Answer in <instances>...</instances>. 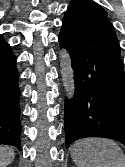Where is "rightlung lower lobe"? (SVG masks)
Segmentation results:
<instances>
[{
    "label": "right lung lower lobe",
    "instance_id": "1",
    "mask_svg": "<svg viewBox=\"0 0 125 167\" xmlns=\"http://www.w3.org/2000/svg\"><path fill=\"white\" fill-rule=\"evenodd\" d=\"M16 57L0 35V144L20 150V90Z\"/></svg>",
    "mask_w": 125,
    "mask_h": 167
}]
</instances>
